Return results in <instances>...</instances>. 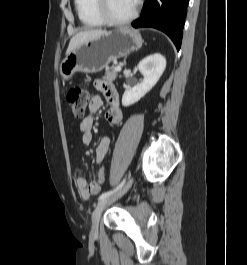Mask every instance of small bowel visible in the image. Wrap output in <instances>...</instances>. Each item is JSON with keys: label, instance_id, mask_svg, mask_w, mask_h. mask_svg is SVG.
<instances>
[{"label": "small bowel", "instance_id": "c3829d8e", "mask_svg": "<svg viewBox=\"0 0 247 265\" xmlns=\"http://www.w3.org/2000/svg\"><path fill=\"white\" fill-rule=\"evenodd\" d=\"M95 88L101 92L106 101L108 102V109L106 111V120L112 124H119L123 119V113L119 105V95L114 87L109 82L103 80L94 81ZM102 106V98L100 95L92 97L89 103V113L80 121L81 142L83 145L88 146L91 144L93 135L92 127L94 122V114ZM111 140L109 137H102L95 154L97 163H100L105 158L110 148ZM77 189L80 191L81 197L89 199L91 196L97 194L100 191L101 183L99 181L88 182L83 175H78L75 179Z\"/></svg>", "mask_w": 247, "mask_h": 265}]
</instances>
